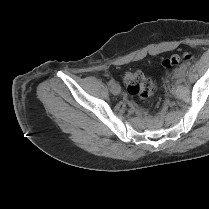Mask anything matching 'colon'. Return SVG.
<instances>
[{
    "label": "colon",
    "mask_w": 209,
    "mask_h": 209,
    "mask_svg": "<svg viewBox=\"0 0 209 209\" xmlns=\"http://www.w3.org/2000/svg\"><path fill=\"white\" fill-rule=\"evenodd\" d=\"M191 55L184 53L182 55H172L163 60L162 65L169 69L179 65L182 61L190 60ZM124 84L129 94L141 99L150 98L156 90V85L152 79L145 76L141 71H128L124 75Z\"/></svg>",
    "instance_id": "colon-1"
}]
</instances>
